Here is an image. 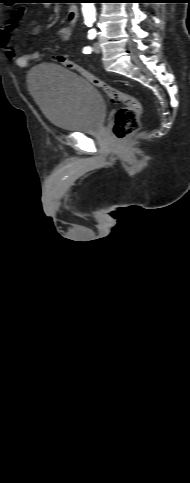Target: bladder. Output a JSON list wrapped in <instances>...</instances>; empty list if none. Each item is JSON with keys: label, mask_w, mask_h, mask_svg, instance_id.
Returning a JSON list of instances; mask_svg holds the SVG:
<instances>
[{"label": "bladder", "mask_w": 190, "mask_h": 483, "mask_svg": "<svg viewBox=\"0 0 190 483\" xmlns=\"http://www.w3.org/2000/svg\"><path fill=\"white\" fill-rule=\"evenodd\" d=\"M28 87L45 118L63 131H98L106 117V104L96 87L60 65L35 66Z\"/></svg>", "instance_id": "obj_1"}]
</instances>
